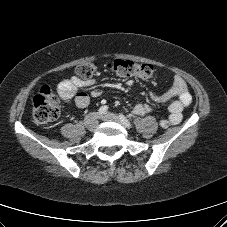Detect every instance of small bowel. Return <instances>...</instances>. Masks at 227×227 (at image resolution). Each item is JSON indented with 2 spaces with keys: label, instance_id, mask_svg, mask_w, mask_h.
<instances>
[{
  "label": "small bowel",
  "instance_id": "1",
  "mask_svg": "<svg viewBox=\"0 0 227 227\" xmlns=\"http://www.w3.org/2000/svg\"><path fill=\"white\" fill-rule=\"evenodd\" d=\"M93 84V79H82L73 76L70 79L60 82L57 86V91L65 102L74 100L79 108H85L90 102V97L98 98L103 94L102 89L98 87L93 88L90 94L80 91V89L91 87ZM127 84L131 85L132 80H128ZM171 98H176V100L171 102L168 107L169 116L166 120L162 121L161 125L163 127L180 123L184 109L192 102V96L188 90V86L180 76H175L171 87L161 95L154 96L153 101L156 103H162ZM151 106V103H138L134 105L133 112L138 115H144L150 110Z\"/></svg>",
  "mask_w": 227,
  "mask_h": 227
}]
</instances>
